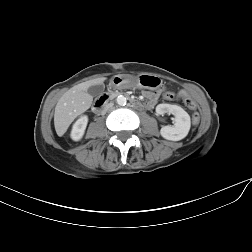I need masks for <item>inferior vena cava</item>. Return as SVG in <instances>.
I'll list each match as a JSON object with an SVG mask.
<instances>
[{"label":"inferior vena cava","mask_w":252,"mask_h":252,"mask_svg":"<svg viewBox=\"0 0 252 252\" xmlns=\"http://www.w3.org/2000/svg\"><path fill=\"white\" fill-rule=\"evenodd\" d=\"M107 107H108V108L112 107V104H111V103H110V104H108V105H107Z\"/></svg>","instance_id":"602c4592"}]
</instances>
